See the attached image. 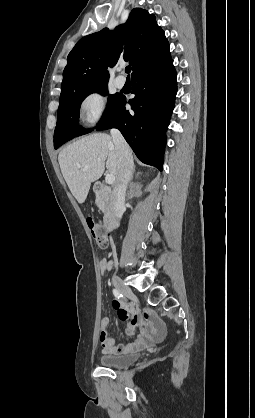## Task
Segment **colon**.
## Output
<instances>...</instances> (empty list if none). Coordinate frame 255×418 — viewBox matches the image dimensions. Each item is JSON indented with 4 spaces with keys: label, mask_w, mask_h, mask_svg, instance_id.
Here are the masks:
<instances>
[{
    "label": "colon",
    "mask_w": 255,
    "mask_h": 418,
    "mask_svg": "<svg viewBox=\"0 0 255 418\" xmlns=\"http://www.w3.org/2000/svg\"><path fill=\"white\" fill-rule=\"evenodd\" d=\"M87 225L96 244L105 248L108 244V237L101 226L91 217L87 218Z\"/></svg>",
    "instance_id": "1"
}]
</instances>
